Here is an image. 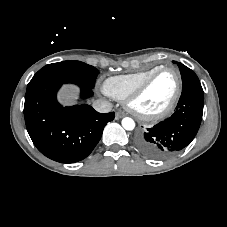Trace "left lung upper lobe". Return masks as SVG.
<instances>
[{"mask_svg": "<svg viewBox=\"0 0 227 227\" xmlns=\"http://www.w3.org/2000/svg\"><path fill=\"white\" fill-rule=\"evenodd\" d=\"M173 63H177V62L173 61ZM177 65L180 69L181 76H182V83H183L182 92H185L187 90H195V91L203 92V89L201 87V84L197 75L182 63H177Z\"/></svg>", "mask_w": 227, "mask_h": 227, "instance_id": "obj_1", "label": "left lung upper lobe"}]
</instances>
